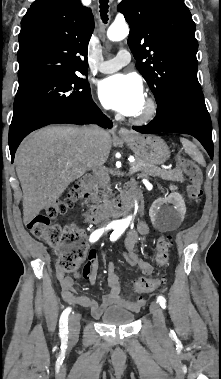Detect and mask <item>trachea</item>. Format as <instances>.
<instances>
[{
  "label": "trachea",
  "instance_id": "3493384b",
  "mask_svg": "<svg viewBox=\"0 0 221 379\" xmlns=\"http://www.w3.org/2000/svg\"><path fill=\"white\" fill-rule=\"evenodd\" d=\"M100 2V14H101V19L103 20L104 23L107 22L108 20V8H109V5H108V2L109 0H99Z\"/></svg>",
  "mask_w": 221,
  "mask_h": 379
}]
</instances>
